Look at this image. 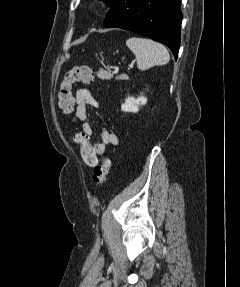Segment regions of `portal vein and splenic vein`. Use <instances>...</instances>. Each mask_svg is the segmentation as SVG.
<instances>
[{"mask_svg": "<svg viewBox=\"0 0 240 287\" xmlns=\"http://www.w3.org/2000/svg\"><path fill=\"white\" fill-rule=\"evenodd\" d=\"M132 68H133V65L130 64L129 67H128V69H132ZM118 71H119V68L116 67V68L114 69L113 73H114V74H115V73H118Z\"/></svg>", "mask_w": 240, "mask_h": 287, "instance_id": "portal-vein-and-splenic-vein-1", "label": "portal vein and splenic vein"}]
</instances>
